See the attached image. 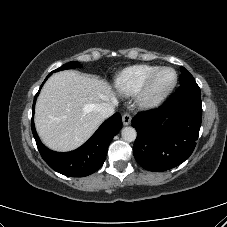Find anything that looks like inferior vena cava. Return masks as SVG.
I'll return each instance as SVG.
<instances>
[{
  "instance_id": "602c4592",
  "label": "inferior vena cava",
  "mask_w": 227,
  "mask_h": 227,
  "mask_svg": "<svg viewBox=\"0 0 227 227\" xmlns=\"http://www.w3.org/2000/svg\"><path fill=\"white\" fill-rule=\"evenodd\" d=\"M97 111L103 118H108L114 114V105L102 102L97 105Z\"/></svg>"
}]
</instances>
